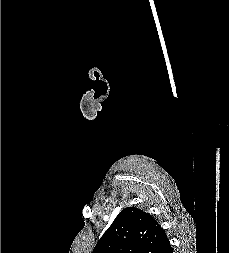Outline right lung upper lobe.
I'll use <instances>...</instances> for the list:
<instances>
[{
    "label": "right lung upper lobe",
    "mask_w": 229,
    "mask_h": 253,
    "mask_svg": "<svg viewBox=\"0 0 229 253\" xmlns=\"http://www.w3.org/2000/svg\"><path fill=\"white\" fill-rule=\"evenodd\" d=\"M170 245L164 229L135 207L123 209L92 253H162Z\"/></svg>",
    "instance_id": "cb5924a9"
}]
</instances>
